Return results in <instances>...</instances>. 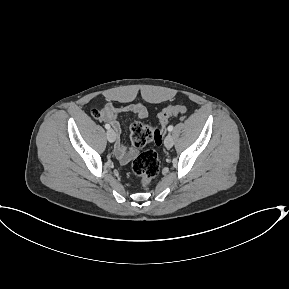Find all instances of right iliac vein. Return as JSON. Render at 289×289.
<instances>
[{
  "instance_id": "obj_1",
  "label": "right iliac vein",
  "mask_w": 289,
  "mask_h": 289,
  "mask_svg": "<svg viewBox=\"0 0 289 289\" xmlns=\"http://www.w3.org/2000/svg\"><path fill=\"white\" fill-rule=\"evenodd\" d=\"M106 136L109 142H114L116 139V133L113 129H109L106 133Z\"/></svg>"
}]
</instances>
